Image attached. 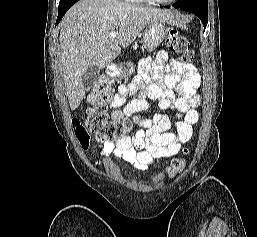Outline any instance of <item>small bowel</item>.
<instances>
[{"instance_id": "1", "label": "small bowel", "mask_w": 257, "mask_h": 237, "mask_svg": "<svg viewBox=\"0 0 257 237\" xmlns=\"http://www.w3.org/2000/svg\"><path fill=\"white\" fill-rule=\"evenodd\" d=\"M199 84L200 75L196 68L190 63L170 59L165 50L160 51L153 61L142 59L137 75L129 84L118 88L110 104L113 119L122 120L146 111L149 107L146 98L150 96L158 99L160 110L174 109L177 120L172 124L161 113H156L151 119L138 120L141 128L135 134L116 143L104 144L98 152L99 156L107 160L113 155L135 169L145 171L154 160L177 154L192 137L193 125L198 120L194 108L200 102L197 93ZM172 88L176 89L178 96L174 95ZM129 95L136 97L125 104Z\"/></svg>"}]
</instances>
